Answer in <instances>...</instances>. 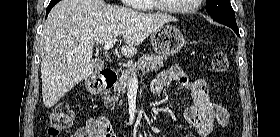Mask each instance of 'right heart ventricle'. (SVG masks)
<instances>
[{
    "mask_svg": "<svg viewBox=\"0 0 280 137\" xmlns=\"http://www.w3.org/2000/svg\"><path fill=\"white\" fill-rule=\"evenodd\" d=\"M145 2H150V0H145Z\"/></svg>",
    "mask_w": 280,
    "mask_h": 137,
    "instance_id": "1",
    "label": "right heart ventricle"
}]
</instances>
